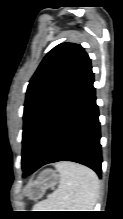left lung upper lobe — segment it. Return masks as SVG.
<instances>
[{
    "label": "left lung upper lobe",
    "mask_w": 123,
    "mask_h": 219,
    "mask_svg": "<svg viewBox=\"0 0 123 219\" xmlns=\"http://www.w3.org/2000/svg\"><path fill=\"white\" fill-rule=\"evenodd\" d=\"M90 70V58L78 44H59L44 57L26 92L22 167L27 165L54 112Z\"/></svg>",
    "instance_id": "left-lung-upper-lobe-1"
}]
</instances>
